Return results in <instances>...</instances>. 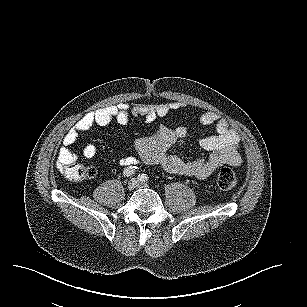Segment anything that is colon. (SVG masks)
Masks as SVG:
<instances>
[{
	"mask_svg": "<svg viewBox=\"0 0 307 307\" xmlns=\"http://www.w3.org/2000/svg\"><path fill=\"white\" fill-rule=\"evenodd\" d=\"M61 173L72 181H82L96 175L95 168L75 161L59 166ZM216 184L222 190H232L237 186V177L232 169L221 168L216 175Z\"/></svg>",
	"mask_w": 307,
	"mask_h": 307,
	"instance_id": "colon-1",
	"label": "colon"
}]
</instances>
